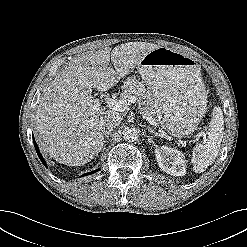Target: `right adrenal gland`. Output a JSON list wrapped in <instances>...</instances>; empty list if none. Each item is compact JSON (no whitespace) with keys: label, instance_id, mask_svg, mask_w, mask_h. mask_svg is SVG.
Returning a JSON list of instances; mask_svg holds the SVG:
<instances>
[{"label":"right adrenal gland","instance_id":"2a0ac1e0","mask_svg":"<svg viewBox=\"0 0 247 247\" xmlns=\"http://www.w3.org/2000/svg\"><path fill=\"white\" fill-rule=\"evenodd\" d=\"M112 130H113V128H110V129H108V130L105 131V133H104V144L105 143H108L109 134L111 133ZM103 148H105V145H104Z\"/></svg>","mask_w":247,"mask_h":247}]
</instances>
